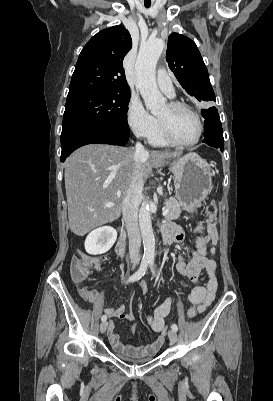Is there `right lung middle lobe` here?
Segmentation results:
<instances>
[{
  "label": "right lung middle lobe",
  "mask_w": 273,
  "mask_h": 401,
  "mask_svg": "<svg viewBox=\"0 0 273 401\" xmlns=\"http://www.w3.org/2000/svg\"><path fill=\"white\" fill-rule=\"evenodd\" d=\"M130 94L84 92L67 96L63 128L72 124H91L129 130L127 109Z\"/></svg>",
  "instance_id": "right-lung-middle-lobe-1"
}]
</instances>
